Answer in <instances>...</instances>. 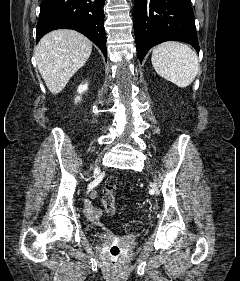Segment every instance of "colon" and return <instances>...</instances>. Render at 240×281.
Instances as JSON below:
<instances>
[{"label":"colon","mask_w":240,"mask_h":281,"mask_svg":"<svg viewBox=\"0 0 240 281\" xmlns=\"http://www.w3.org/2000/svg\"><path fill=\"white\" fill-rule=\"evenodd\" d=\"M117 190V180L113 177L108 178L105 181L102 202L108 215H114L115 208V193ZM143 225L138 220H131L126 224V232L131 235H138L142 232ZM112 254L116 255L117 250L113 249Z\"/></svg>","instance_id":"5ec220e1"}]
</instances>
